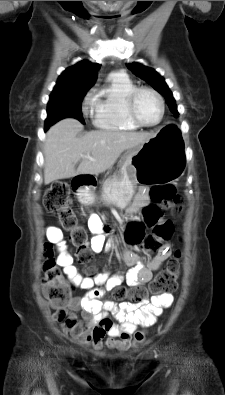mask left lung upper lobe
Segmentation results:
<instances>
[{"label":"left lung upper lobe","mask_w":225,"mask_h":395,"mask_svg":"<svg viewBox=\"0 0 225 395\" xmlns=\"http://www.w3.org/2000/svg\"><path fill=\"white\" fill-rule=\"evenodd\" d=\"M133 74L148 82L155 90L161 93L173 114L177 117L179 115L175 99L172 92L167 86L165 80L154 69L143 66L139 63L126 64Z\"/></svg>","instance_id":"obj_1"}]
</instances>
